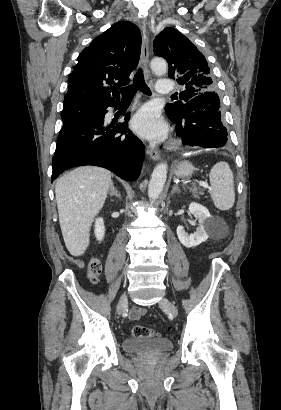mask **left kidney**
I'll use <instances>...</instances> for the list:
<instances>
[{
    "label": "left kidney",
    "mask_w": 281,
    "mask_h": 410,
    "mask_svg": "<svg viewBox=\"0 0 281 410\" xmlns=\"http://www.w3.org/2000/svg\"><path fill=\"white\" fill-rule=\"evenodd\" d=\"M189 211L199 222L196 231L189 235L182 226L177 227L178 239L187 248L196 247L207 240L208 234L206 227L209 225L211 218L209 210L195 202L190 203Z\"/></svg>",
    "instance_id": "5707ae66"
}]
</instances>
